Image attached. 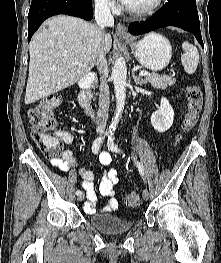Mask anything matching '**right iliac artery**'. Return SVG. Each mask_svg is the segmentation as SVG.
Wrapping results in <instances>:
<instances>
[{"mask_svg":"<svg viewBox=\"0 0 221 263\" xmlns=\"http://www.w3.org/2000/svg\"><path fill=\"white\" fill-rule=\"evenodd\" d=\"M102 139H103V136H100L94 141V143L92 145V152L94 154H98L100 147H101ZM81 194H82V192L80 190L76 191V195H81Z\"/></svg>","mask_w":221,"mask_h":263,"instance_id":"right-iliac-artery-1","label":"right iliac artery"}]
</instances>
